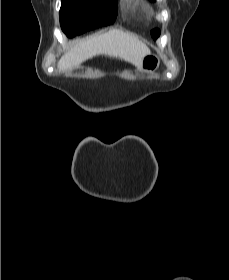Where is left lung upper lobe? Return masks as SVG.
<instances>
[{
    "instance_id": "obj_1",
    "label": "left lung upper lobe",
    "mask_w": 229,
    "mask_h": 280,
    "mask_svg": "<svg viewBox=\"0 0 229 280\" xmlns=\"http://www.w3.org/2000/svg\"><path fill=\"white\" fill-rule=\"evenodd\" d=\"M150 1H155V0H150ZM160 35V30L159 29H154L151 31V36L153 37L154 40H156Z\"/></svg>"
}]
</instances>
